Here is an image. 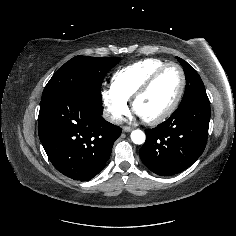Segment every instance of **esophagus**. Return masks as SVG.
I'll list each match as a JSON object with an SVG mask.
<instances>
[{
  "mask_svg": "<svg viewBox=\"0 0 236 236\" xmlns=\"http://www.w3.org/2000/svg\"><path fill=\"white\" fill-rule=\"evenodd\" d=\"M122 130H123L124 132H130V131L132 130V128L129 127V126H124V127L122 128Z\"/></svg>",
  "mask_w": 236,
  "mask_h": 236,
  "instance_id": "1",
  "label": "esophagus"
}]
</instances>
